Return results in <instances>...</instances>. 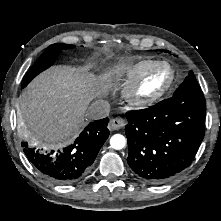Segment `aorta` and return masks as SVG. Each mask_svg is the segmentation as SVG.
<instances>
[{"instance_id": "obj_1", "label": "aorta", "mask_w": 221, "mask_h": 221, "mask_svg": "<svg viewBox=\"0 0 221 221\" xmlns=\"http://www.w3.org/2000/svg\"><path fill=\"white\" fill-rule=\"evenodd\" d=\"M110 145L113 149L120 150L125 147L126 139L121 134H115L110 139Z\"/></svg>"}]
</instances>
